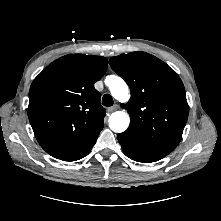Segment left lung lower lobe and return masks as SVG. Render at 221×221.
<instances>
[{
	"label": "left lung lower lobe",
	"mask_w": 221,
	"mask_h": 221,
	"mask_svg": "<svg viewBox=\"0 0 221 221\" xmlns=\"http://www.w3.org/2000/svg\"><path fill=\"white\" fill-rule=\"evenodd\" d=\"M117 138L122 146L124 154L134 161L150 163L163 158L142 150L141 148L133 144L130 138L124 132L118 134Z\"/></svg>",
	"instance_id": "obj_1"
}]
</instances>
